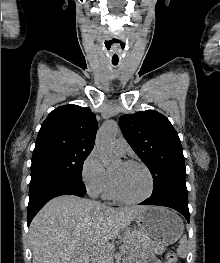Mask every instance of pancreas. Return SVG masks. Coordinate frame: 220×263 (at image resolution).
I'll return each instance as SVG.
<instances>
[{"label": "pancreas", "instance_id": "pancreas-1", "mask_svg": "<svg viewBox=\"0 0 220 263\" xmlns=\"http://www.w3.org/2000/svg\"><path fill=\"white\" fill-rule=\"evenodd\" d=\"M140 232L137 230H126L123 234V245L122 247L126 250H131L140 247ZM158 251L163 253L164 249L159 248ZM112 251L109 249L103 253L99 259H95L93 263H108V258Z\"/></svg>", "mask_w": 220, "mask_h": 263}]
</instances>
